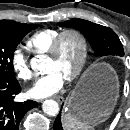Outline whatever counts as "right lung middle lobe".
Masks as SVG:
<instances>
[{"label":"right lung middle lobe","mask_w":130,"mask_h":130,"mask_svg":"<svg viewBox=\"0 0 130 130\" xmlns=\"http://www.w3.org/2000/svg\"><path fill=\"white\" fill-rule=\"evenodd\" d=\"M39 25L0 24V77L8 81H17L13 69L14 51L24 36Z\"/></svg>","instance_id":"obj_1"}]
</instances>
